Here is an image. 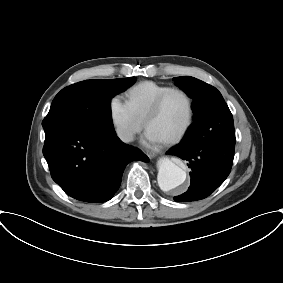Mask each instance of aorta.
I'll return each mask as SVG.
<instances>
[{
	"instance_id": "aorta-1",
	"label": "aorta",
	"mask_w": 283,
	"mask_h": 283,
	"mask_svg": "<svg viewBox=\"0 0 283 283\" xmlns=\"http://www.w3.org/2000/svg\"><path fill=\"white\" fill-rule=\"evenodd\" d=\"M157 169V181L163 191L178 189L187 177L185 169L168 158L159 159Z\"/></svg>"
}]
</instances>
